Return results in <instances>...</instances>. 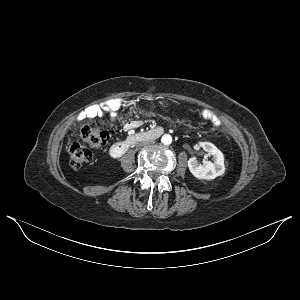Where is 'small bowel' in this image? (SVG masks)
<instances>
[{
    "label": "small bowel",
    "instance_id": "1",
    "mask_svg": "<svg viewBox=\"0 0 300 300\" xmlns=\"http://www.w3.org/2000/svg\"><path fill=\"white\" fill-rule=\"evenodd\" d=\"M104 112L105 111L101 106L92 105V106H89L88 108H86L84 111H82L78 115L77 119H78V121H83V120L88 119V118L101 117L104 114ZM199 114L201 116H203L204 118L210 120L214 124H219V120L215 115L210 114L206 111H199ZM140 125H141L140 121L132 120V121H129L126 124V128L127 129H133V128L139 127Z\"/></svg>",
    "mask_w": 300,
    "mask_h": 300
}]
</instances>
